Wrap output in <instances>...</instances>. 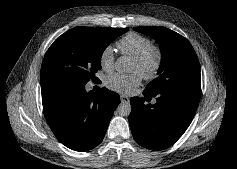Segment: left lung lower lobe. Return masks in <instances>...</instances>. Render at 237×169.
Segmentation results:
<instances>
[{
  "mask_svg": "<svg viewBox=\"0 0 237 169\" xmlns=\"http://www.w3.org/2000/svg\"><path fill=\"white\" fill-rule=\"evenodd\" d=\"M146 98L157 97L154 105L132 97L129 124L134 139L151 150H163L174 144L186 131L197 110L201 89L169 88Z\"/></svg>",
  "mask_w": 237,
  "mask_h": 169,
  "instance_id": "0a47b994",
  "label": "left lung lower lobe"
}]
</instances>
